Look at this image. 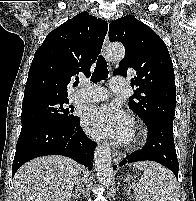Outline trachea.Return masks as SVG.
Segmentation results:
<instances>
[{
    "instance_id": "3493384b",
    "label": "trachea",
    "mask_w": 196,
    "mask_h": 201,
    "mask_svg": "<svg viewBox=\"0 0 196 201\" xmlns=\"http://www.w3.org/2000/svg\"><path fill=\"white\" fill-rule=\"evenodd\" d=\"M108 78L107 62L103 56H99L96 68L91 76L92 82L106 80Z\"/></svg>"
}]
</instances>
